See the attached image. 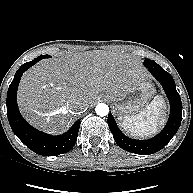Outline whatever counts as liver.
I'll return each instance as SVG.
<instances>
[{
    "mask_svg": "<svg viewBox=\"0 0 193 193\" xmlns=\"http://www.w3.org/2000/svg\"><path fill=\"white\" fill-rule=\"evenodd\" d=\"M143 76L124 55L109 52L76 53L55 61H43L24 74L18 102L22 114L34 126L57 133L71 123L70 103L82 100L88 107L101 93L115 91L129 78Z\"/></svg>",
    "mask_w": 193,
    "mask_h": 193,
    "instance_id": "1",
    "label": "liver"
}]
</instances>
